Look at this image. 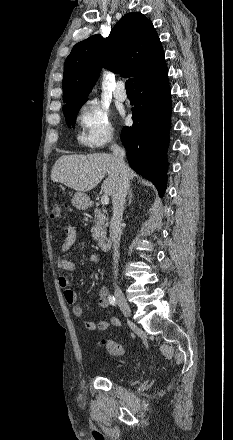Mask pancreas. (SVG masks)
Segmentation results:
<instances>
[{"label": "pancreas", "instance_id": "cf45deb5", "mask_svg": "<svg viewBox=\"0 0 233 440\" xmlns=\"http://www.w3.org/2000/svg\"><path fill=\"white\" fill-rule=\"evenodd\" d=\"M107 218L100 209L94 210V226L92 227V237L94 240H100L106 235Z\"/></svg>", "mask_w": 233, "mask_h": 440}]
</instances>
